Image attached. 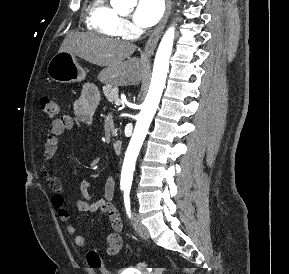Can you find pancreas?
Masks as SVG:
<instances>
[{
    "mask_svg": "<svg viewBox=\"0 0 289 274\" xmlns=\"http://www.w3.org/2000/svg\"><path fill=\"white\" fill-rule=\"evenodd\" d=\"M103 93L109 102H115V100L119 99L118 96V88L112 85L106 86L103 88ZM115 134V132L113 133Z\"/></svg>",
    "mask_w": 289,
    "mask_h": 274,
    "instance_id": "cf45deb5",
    "label": "pancreas"
}]
</instances>
